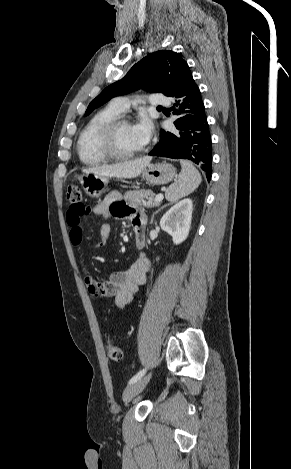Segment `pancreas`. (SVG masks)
<instances>
[{
  "instance_id": "1",
  "label": "pancreas",
  "mask_w": 291,
  "mask_h": 469,
  "mask_svg": "<svg viewBox=\"0 0 291 469\" xmlns=\"http://www.w3.org/2000/svg\"><path fill=\"white\" fill-rule=\"evenodd\" d=\"M155 194L151 190H134L128 191L124 195V200L131 206L138 207L143 205L145 207H157L160 205V202L154 201Z\"/></svg>"
}]
</instances>
